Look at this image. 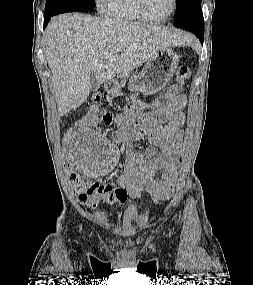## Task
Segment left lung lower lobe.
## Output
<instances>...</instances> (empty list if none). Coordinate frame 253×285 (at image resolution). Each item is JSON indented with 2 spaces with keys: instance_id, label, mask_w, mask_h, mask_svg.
<instances>
[{
  "instance_id": "0a47b994",
  "label": "left lung lower lobe",
  "mask_w": 253,
  "mask_h": 285,
  "mask_svg": "<svg viewBox=\"0 0 253 285\" xmlns=\"http://www.w3.org/2000/svg\"><path fill=\"white\" fill-rule=\"evenodd\" d=\"M174 26L193 32L199 38L201 44H203L204 18L202 11L190 15L181 22L174 24Z\"/></svg>"
}]
</instances>
